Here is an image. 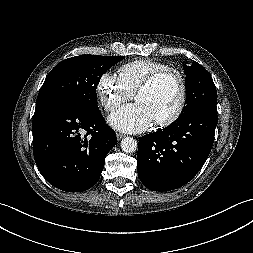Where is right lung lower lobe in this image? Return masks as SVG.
<instances>
[{"label": "right lung lower lobe", "mask_w": 253, "mask_h": 253, "mask_svg": "<svg viewBox=\"0 0 253 253\" xmlns=\"http://www.w3.org/2000/svg\"><path fill=\"white\" fill-rule=\"evenodd\" d=\"M33 154L44 178L56 188L80 192L97 183L116 134L99 109L80 110L64 103L36 106Z\"/></svg>", "instance_id": "1"}]
</instances>
